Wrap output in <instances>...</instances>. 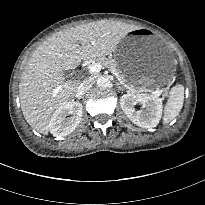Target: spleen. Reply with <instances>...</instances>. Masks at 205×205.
I'll return each instance as SVG.
<instances>
[{"mask_svg":"<svg viewBox=\"0 0 205 205\" xmlns=\"http://www.w3.org/2000/svg\"><path fill=\"white\" fill-rule=\"evenodd\" d=\"M184 87L181 84L175 85L169 94V98L165 105V113L163 123L168 124L179 114L183 107Z\"/></svg>","mask_w":205,"mask_h":205,"instance_id":"spleen-1","label":"spleen"}]
</instances>
